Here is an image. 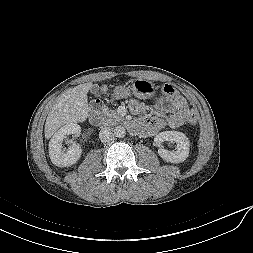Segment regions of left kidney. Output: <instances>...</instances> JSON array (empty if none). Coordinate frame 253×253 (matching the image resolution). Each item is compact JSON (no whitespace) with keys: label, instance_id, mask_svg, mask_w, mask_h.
<instances>
[{"label":"left kidney","instance_id":"5707ae66","mask_svg":"<svg viewBox=\"0 0 253 253\" xmlns=\"http://www.w3.org/2000/svg\"><path fill=\"white\" fill-rule=\"evenodd\" d=\"M164 141L176 143V151H169L161 148ZM155 144L160 147L158 150L159 156L170 163H180L186 160L189 155L190 142L186 135L177 131H164L156 135L154 138Z\"/></svg>","mask_w":253,"mask_h":253}]
</instances>
